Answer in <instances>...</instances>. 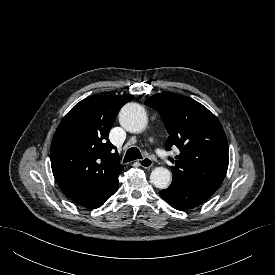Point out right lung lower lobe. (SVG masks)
I'll list each match as a JSON object with an SVG mask.
<instances>
[{"label": "right lung lower lobe", "mask_w": 275, "mask_h": 275, "mask_svg": "<svg viewBox=\"0 0 275 275\" xmlns=\"http://www.w3.org/2000/svg\"><path fill=\"white\" fill-rule=\"evenodd\" d=\"M118 190V179L110 186L90 193L72 197V201L86 208H98Z\"/></svg>", "instance_id": "obj_1"}]
</instances>
